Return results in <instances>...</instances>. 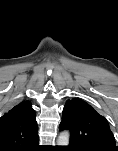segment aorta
Listing matches in <instances>:
<instances>
[{
	"label": "aorta",
	"mask_w": 118,
	"mask_h": 151,
	"mask_svg": "<svg viewBox=\"0 0 118 151\" xmlns=\"http://www.w3.org/2000/svg\"><path fill=\"white\" fill-rule=\"evenodd\" d=\"M70 140V134L68 131H63L60 133L58 139H57V145L58 146H68Z\"/></svg>",
	"instance_id": "1"
}]
</instances>
